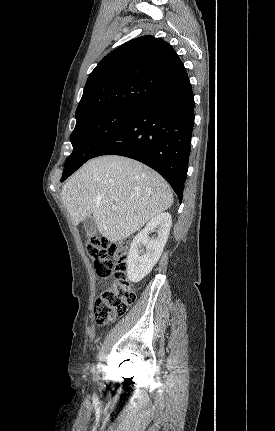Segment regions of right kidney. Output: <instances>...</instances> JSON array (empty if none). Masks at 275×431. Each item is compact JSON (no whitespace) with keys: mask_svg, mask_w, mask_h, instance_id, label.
I'll return each mask as SVG.
<instances>
[{"mask_svg":"<svg viewBox=\"0 0 275 431\" xmlns=\"http://www.w3.org/2000/svg\"><path fill=\"white\" fill-rule=\"evenodd\" d=\"M171 225V215L160 213L134 237L127 259V277L131 282L137 283L150 273L163 252ZM155 229L158 236L150 238L149 233Z\"/></svg>","mask_w":275,"mask_h":431,"instance_id":"right-kidney-1","label":"right kidney"}]
</instances>
